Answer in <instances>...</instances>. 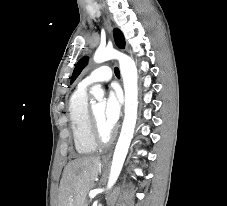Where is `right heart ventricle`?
<instances>
[{
  "label": "right heart ventricle",
  "instance_id": "obj_1",
  "mask_svg": "<svg viewBox=\"0 0 227 206\" xmlns=\"http://www.w3.org/2000/svg\"><path fill=\"white\" fill-rule=\"evenodd\" d=\"M68 118L72 130L74 147L79 154L93 153L97 144L90 131L89 103L86 89L78 87L68 103Z\"/></svg>",
  "mask_w": 227,
  "mask_h": 206
}]
</instances>
